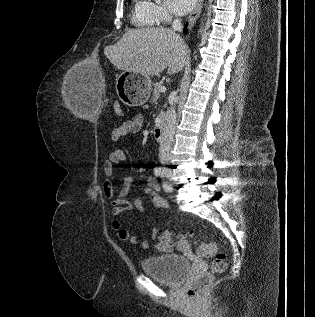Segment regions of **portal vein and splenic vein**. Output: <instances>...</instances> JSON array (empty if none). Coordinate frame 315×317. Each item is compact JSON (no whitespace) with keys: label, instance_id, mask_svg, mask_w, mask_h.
Returning <instances> with one entry per match:
<instances>
[{"label":"portal vein and splenic vein","instance_id":"portal-vein-and-splenic-vein-1","mask_svg":"<svg viewBox=\"0 0 315 317\" xmlns=\"http://www.w3.org/2000/svg\"><path fill=\"white\" fill-rule=\"evenodd\" d=\"M160 92L165 93L166 92V88L165 87H161L160 88Z\"/></svg>","mask_w":315,"mask_h":317}]
</instances>
